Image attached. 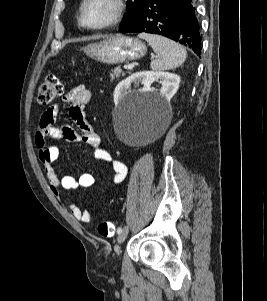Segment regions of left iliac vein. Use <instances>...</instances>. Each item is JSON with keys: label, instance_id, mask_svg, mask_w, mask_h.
Segmentation results:
<instances>
[{"label": "left iliac vein", "instance_id": "1", "mask_svg": "<svg viewBox=\"0 0 267 301\" xmlns=\"http://www.w3.org/2000/svg\"><path fill=\"white\" fill-rule=\"evenodd\" d=\"M128 227H124L122 231L118 234L117 242L118 244H122L128 236Z\"/></svg>", "mask_w": 267, "mask_h": 301}]
</instances>
